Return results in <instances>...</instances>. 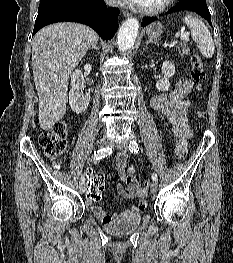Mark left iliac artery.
I'll return each mask as SVG.
<instances>
[{
    "instance_id": "obj_1",
    "label": "left iliac artery",
    "mask_w": 233,
    "mask_h": 263,
    "mask_svg": "<svg viewBox=\"0 0 233 263\" xmlns=\"http://www.w3.org/2000/svg\"><path fill=\"white\" fill-rule=\"evenodd\" d=\"M129 150L131 153H138V151H139L138 143L134 140L131 141L129 143ZM152 180L157 181V174L155 172L152 174Z\"/></svg>"
}]
</instances>
